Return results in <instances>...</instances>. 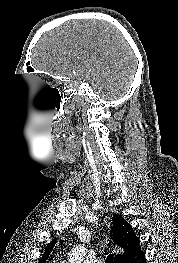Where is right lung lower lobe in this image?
Returning a JSON list of instances; mask_svg holds the SVG:
<instances>
[{
    "instance_id": "1",
    "label": "right lung lower lobe",
    "mask_w": 178,
    "mask_h": 263,
    "mask_svg": "<svg viewBox=\"0 0 178 263\" xmlns=\"http://www.w3.org/2000/svg\"><path fill=\"white\" fill-rule=\"evenodd\" d=\"M128 263H146L143 251L141 250L139 253H137L135 257L128 261Z\"/></svg>"
}]
</instances>
